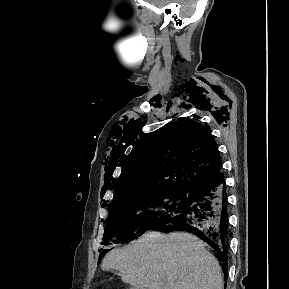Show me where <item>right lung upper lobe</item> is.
<instances>
[{
	"label": "right lung upper lobe",
	"mask_w": 289,
	"mask_h": 289,
	"mask_svg": "<svg viewBox=\"0 0 289 289\" xmlns=\"http://www.w3.org/2000/svg\"><path fill=\"white\" fill-rule=\"evenodd\" d=\"M221 173L222 161L210 128L197 119L181 118L134 146L116 184L111 205L156 191H191Z\"/></svg>",
	"instance_id": "cb5924a9"
}]
</instances>
